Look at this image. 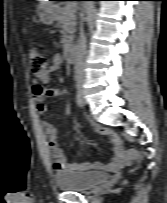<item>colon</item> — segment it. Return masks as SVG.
<instances>
[{
	"label": "colon",
	"mask_w": 167,
	"mask_h": 203,
	"mask_svg": "<svg viewBox=\"0 0 167 203\" xmlns=\"http://www.w3.org/2000/svg\"><path fill=\"white\" fill-rule=\"evenodd\" d=\"M28 61L30 70L35 75L46 71L49 64L47 56L32 44L28 49ZM122 160L125 164H131L132 162L140 160V154L137 150L134 149L123 150Z\"/></svg>",
	"instance_id": "colon-1"
}]
</instances>
